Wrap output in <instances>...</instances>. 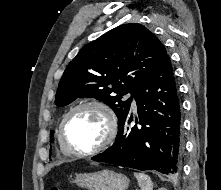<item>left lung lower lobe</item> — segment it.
Wrapping results in <instances>:
<instances>
[{
    "instance_id": "1",
    "label": "left lung lower lobe",
    "mask_w": 221,
    "mask_h": 190,
    "mask_svg": "<svg viewBox=\"0 0 221 190\" xmlns=\"http://www.w3.org/2000/svg\"><path fill=\"white\" fill-rule=\"evenodd\" d=\"M135 100L139 125H131L133 115L128 112L118 124L114 144L92 160L178 175L183 154L181 107L168 55L137 90Z\"/></svg>"
}]
</instances>
